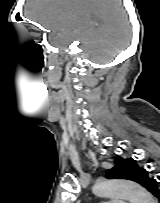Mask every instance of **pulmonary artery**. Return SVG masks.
Instances as JSON below:
<instances>
[{
  "label": "pulmonary artery",
  "mask_w": 160,
  "mask_h": 203,
  "mask_svg": "<svg viewBox=\"0 0 160 203\" xmlns=\"http://www.w3.org/2000/svg\"><path fill=\"white\" fill-rule=\"evenodd\" d=\"M112 202L113 203H126L125 200H113Z\"/></svg>",
  "instance_id": "e3ab8cb5"
}]
</instances>
